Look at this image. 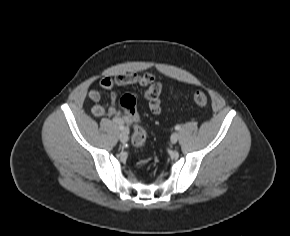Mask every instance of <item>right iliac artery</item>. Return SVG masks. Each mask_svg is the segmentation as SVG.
I'll return each instance as SVG.
<instances>
[{
    "label": "right iliac artery",
    "mask_w": 290,
    "mask_h": 236,
    "mask_svg": "<svg viewBox=\"0 0 290 236\" xmlns=\"http://www.w3.org/2000/svg\"><path fill=\"white\" fill-rule=\"evenodd\" d=\"M119 129L120 130H123L124 129V126L122 124H120V123H119Z\"/></svg>",
    "instance_id": "1"
}]
</instances>
